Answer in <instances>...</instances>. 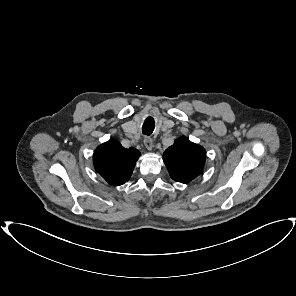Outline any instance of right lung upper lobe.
<instances>
[{
  "mask_svg": "<svg viewBox=\"0 0 296 296\" xmlns=\"http://www.w3.org/2000/svg\"><path fill=\"white\" fill-rule=\"evenodd\" d=\"M139 156L137 149H126L120 142L110 139L95 150L93 161L96 171L110 185L118 186L129 180Z\"/></svg>",
  "mask_w": 296,
  "mask_h": 296,
  "instance_id": "obj_1",
  "label": "right lung upper lobe"
}]
</instances>
